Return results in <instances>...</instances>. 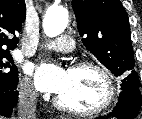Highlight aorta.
Masks as SVG:
<instances>
[{
	"label": "aorta",
	"instance_id": "aorta-1",
	"mask_svg": "<svg viewBox=\"0 0 142 119\" xmlns=\"http://www.w3.org/2000/svg\"><path fill=\"white\" fill-rule=\"evenodd\" d=\"M68 23V11L64 7H51L43 19V29L48 37L60 35Z\"/></svg>",
	"mask_w": 142,
	"mask_h": 119
}]
</instances>
